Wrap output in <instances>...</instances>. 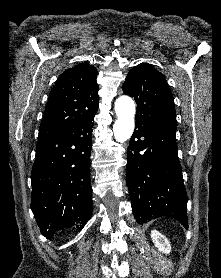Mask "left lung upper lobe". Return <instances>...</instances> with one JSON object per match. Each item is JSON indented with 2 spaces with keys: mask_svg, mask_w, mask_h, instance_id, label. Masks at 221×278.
Returning a JSON list of instances; mask_svg holds the SVG:
<instances>
[{
  "mask_svg": "<svg viewBox=\"0 0 221 278\" xmlns=\"http://www.w3.org/2000/svg\"><path fill=\"white\" fill-rule=\"evenodd\" d=\"M122 90L136 101V122L177 125L174 100L166 79L152 65L141 63L133 67Z\"/></svg>",
  "mask_w": 221,
  "mask_h": 278,
  "instance_id": "obj_1",
  "label": "left lung upper lobe"
}]
</instances>
